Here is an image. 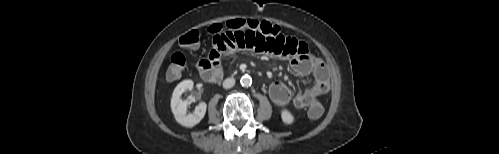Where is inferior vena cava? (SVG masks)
I'll return each mask as SVG.
<instances>
[{
    "label": "inferior vena cava",
    "mask_w": 499,
    "mask_h": 154,
    "mask_svg": "<svg viewBox=\"0 0 499 154\" xmlns=\"http://www.w3.org/2000/svg\"><path fill=\"white\" fill-rule=\"evenodd\" d=\"M235 84V80L233 78H227L223 81V88L229 89L232 88Z\"/></svg>",
    "instance_id": "602c4592"
}]
</instances>
